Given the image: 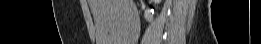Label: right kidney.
Listing matches in <instances>:
<instances>
[{
	"instance_id": "obj_1",
	"label": "right kidney",
	"mask_w": 261,
	"mask_h": 44,
	"mask_svg": "<svg viewBox=\"0 0 261 44\" xmlns=\"http://www.w3.org/2000/svg\"><path fill=\"white\" fill-rule=\"evenodd\" d=\"M153 10L151 9H146L144 12V18L146 21L151 22L153 20V15H152Z\"/></svg>"
}]
</instances>
